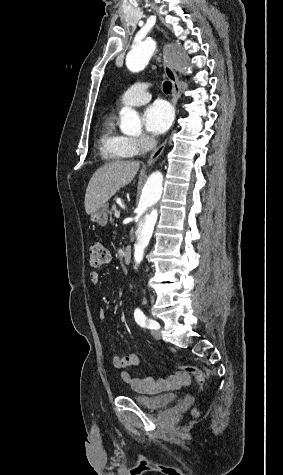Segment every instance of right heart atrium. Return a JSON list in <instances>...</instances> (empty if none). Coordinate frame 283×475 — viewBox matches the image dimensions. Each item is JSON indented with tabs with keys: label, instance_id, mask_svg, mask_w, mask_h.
<instances>
[{
	"label": "right heart atrium",
	"instance_id": "right-heart-atrium-1",
	"mask_svg": "<svg viewBox=\"0 0 283 475\" xmlns=\"http://www.w3.org/2000/svg\"><path fill=\"white\" fill-rule=\"evenodd\" d=\"M154 141L148 136L138 138H129L126 141V147L129 155L142 156L146 154L153 146Z\"/></svg>",
	"mask_w": 283,
	"mask_h": 475
}]
</instances>
